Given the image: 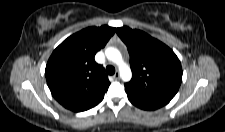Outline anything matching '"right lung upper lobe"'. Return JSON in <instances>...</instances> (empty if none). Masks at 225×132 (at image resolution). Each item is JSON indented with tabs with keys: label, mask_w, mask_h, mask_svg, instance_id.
I'll use <instances>...</instances> for the list:
<instances>
[{
	"label": "right lung upper lobe",
	"mask_w": 225,
	"mask_h": 132,
	"mask_svg": "<svg viewBox=\"0 0 225 132\" xmlns=\"http://www.w3.org/2000/svg\"><path fill=\"white\" fill-rule=\"evenodd\" d=\"M115 28L89 27L64 40L50 56L45 76L53 97L65 108L82 112L104 98L110 82L104 68L95 62Z\"/></svg>",
	"instance_id": "1"
}]
</instances>
